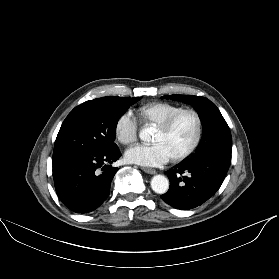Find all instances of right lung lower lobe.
I'll use <instances>...</instances> for the list:
<instances>
[{
	"label": "right lung lower lobe",
	"mask_w": 279,
	"mask_h": 279,
	"mask_svg": "<svg viewBox=\"0 0 279 279\" xmlns=\"http://www.w3.org/2000/svg\"><path fill=\"white\" fill-rule=\"evenodd\" d=\"M121 156L118 147L102 155H61L53 157V179L59 199L76 213L98 208L108 197Z\"/></svg>",
	"instance_id": "obj_1"
}]
</instances>
